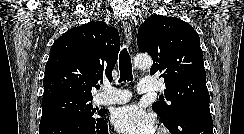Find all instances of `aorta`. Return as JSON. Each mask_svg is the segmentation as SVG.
<instances>
[{"mask_svg": "<svg viewBox=\"0 0 244 134\" xmlns=\"http://www.w3.org/2000/svg\"><path fill=\"white\" fill-rule=\"evenodd\" d=\"M134 64L140 69H148L152 66V59L148 55H137L134 58Z\"/></svg>", "mask_w": 244, "mask_h": 134, "instance_id": "1", "label": "aorta"}]
</instances>
